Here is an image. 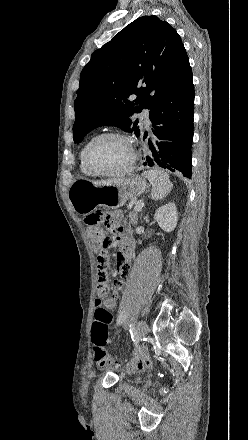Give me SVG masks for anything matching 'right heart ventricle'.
<instances>
[{
    "instance_id": "e07e8e85",
    "label": "right heart ventricle",
    "mask_w": 248,
    "mask_h": 440,
    "mask_svg": "<svg viewBox=\"0 0 248 440\" xmlns=\"http://www.w3.org/2000/svg\"><path fill=\"white\" fill-rule=\"evenodd\" d=\"M92 139H93V138L89 139V140L84 144V146L82 147V149H81V151H80V153H79V168H80V171H81L84 175H87V176H91L92 174L88 171V169H87V167H86V165H85L84 155H85V150H86L88 144L90 143V141H91Z\"/></svg>"
}]
</instances>
